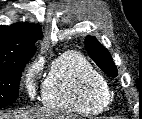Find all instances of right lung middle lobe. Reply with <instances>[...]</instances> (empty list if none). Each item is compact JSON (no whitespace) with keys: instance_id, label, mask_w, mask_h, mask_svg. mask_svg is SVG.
<instances>
[{"instance_id":"1","label":"right lung middle lobe","mask_w":142,"mask_h":119,"mask_svg":"<svg viewBox=\"0 0 142 119\" xmlns=\"http://www.w3.org/2000/svg\"><path fill=\"white\" fill-rule=\"evenodd\" d=\"M29 59L0 64V109L12 104L18 98L21 73Z\"/></svg>"}]
</instances>
